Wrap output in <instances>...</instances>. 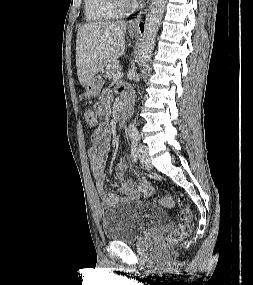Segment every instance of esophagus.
Segmentation results:
<instances>
[{"label":"esophagus","mask_w":253,"mask_h":285,"mask_svg":"<svg viewBox=\"0 0 253 285\" xmlns=\"http://www.w3.org/2000/svg\"><path fill=\"white\" fill-rule=\"evenodd\" d=\"M149 4V3H148ZM147 7L148 5H146L137 15V17L135 19H133L132 21H130L129 23V29L133 30V31H139L140 30V22L143 19V16L145 15V13L147 12Z\"/></svg>","instance_id":"34e87169"}]
</instances>
